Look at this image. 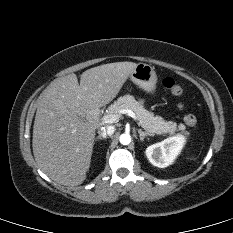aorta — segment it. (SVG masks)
I'll return each mask as SVG.
<instances>
[{
  "label": "aorta",
  "instance_id": "aorta-1",
  "mask_svg": "<svg viewBox=\"0 0 233 233\" xmlns=\"http://www.w3.org/2000/svg\"><path fill=\"white\" fill-rule=\"evenodd\" d=\"M119 140H120V143L122 145H128L131 142V136L127 133H124V134L120 135Z\"/></svg>",
  "mask_w": 233,
  "mask_h": 233
}]
</instances>
